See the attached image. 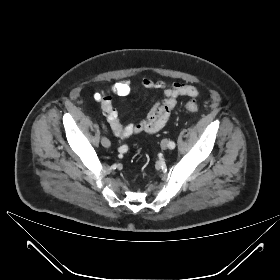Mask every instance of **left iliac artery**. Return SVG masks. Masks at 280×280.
<instances>
[{"mask_svg":"<svg viewBox=\"0 0 280 280\" xmlns=\"http://www.w3.org/2000/svg\"><path fill=\"white\" fill-rule=\"evenodd\" d=\"M169 149H174L175 148V143L173 141H170L168 144Z\"/></svg>","mask_w":280,"mask_h":280,"instance_id":"44dca946","label":"left iliac artery"}]
</instances>
